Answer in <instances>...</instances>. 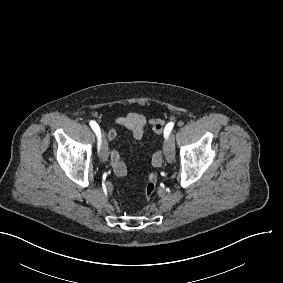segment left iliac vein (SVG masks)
Segmentation results:
<instances>
[{
    "instance_id": "1",
    "label": "left iliac vein",
    "mask_w": 283,
    "mask_h": 283,
    "mask_svg": "<svg viewBox=\"0 0 283 283\" xmlns=\"http://www.w3.org/2000/svg\"><path fill=\"white\" fill-rule=\"evenodd\" d=\"M163 150L165 159L167 162H173L175 160V147H174V139L171 137L170 140H164L163 142Z\"/></svg>"
}]
</instances>
